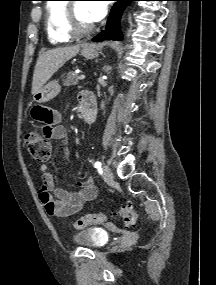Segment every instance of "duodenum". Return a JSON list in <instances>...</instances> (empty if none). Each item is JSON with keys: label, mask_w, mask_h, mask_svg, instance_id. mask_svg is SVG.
Instances as JSON below:
<instances>
[{"label": "duodenum", "mask_w": 216, "mask_h": 285, "mask_svg": "<svg viewBox=\"0 0 216 285\" xmlns=\"http://www.w3.org/2000/svg\"><path fill=\"white\" fill-rule=\"evenodd\" d=\"M96 106L93 102H85L82 105L81 114L86 123H92L96 118Z\"/></svg>", "instance_id": "1"}]
</instances>
